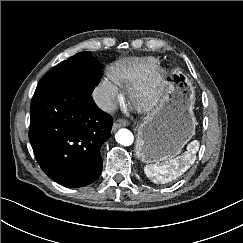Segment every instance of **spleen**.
<instances>
[{
    "label": "spleen",
    "instance_id": "1",
    "mask_svg": "<svg viewBox=\"0 0 243 243\" xmlns=\"http://www.w3.org/2000/svg\"><path fill=\"white\" fill-rule=\"evenodd\" d=\"M199 150V142L193 140L187 145V151L163 163L149 164L144 167V172L148 178L155 183H168L183 173L195 162V154Z\"/></svg>",
    "mask_w": 243,
    "mask_h": 243
}]
</instances>
